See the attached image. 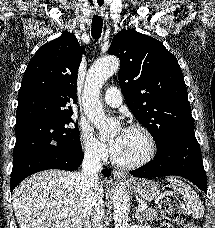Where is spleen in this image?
Instances as JSON below:
<instances>
[{"instance_id": "spleen-1", "label": "spleen", "mask_w": 215, "mask_h": 228, "mask_svg": "<svg viewBox=\"0 0 215 228\" xmlns=\"http://www.w3.org/2000/svg\"><path fill=\"white\" fill-rule=\"evenodd\" d=\"M167 180L170 182L175 192L182 194V198L192 218H196V220H198V218H203L204 208L196 192H194V190H192L188 184H185V182H182V180H178L177 176H168Z\"/></svg>"}]
</instances>
